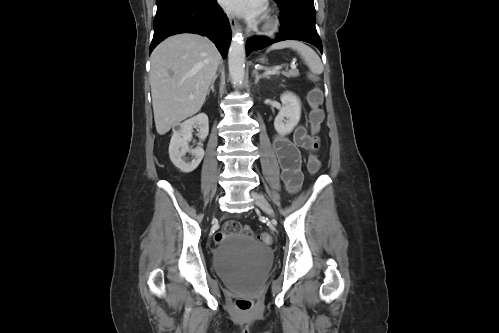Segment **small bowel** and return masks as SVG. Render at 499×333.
Masks as SVG:
<instances>
[{
	"label": "small bowel",
	"mask_w": 499,
	"mask_h": 333,
	"mask_svg": "<svg viewBox=\"0 0 499 333\" xmlns=\"http://www.w3.org/2000/svg\"><path fill=\"white\" fill-rule=\"evenodd\" d=\"M312 145L313 137L306 125L297 126L292 138L282 134L274 137L273 147L281 167L282 180L291 193L300 189L303 180L300 150H311Z\"/></svg>",
	"instance_id": "obj_1"
}]
</instances>
